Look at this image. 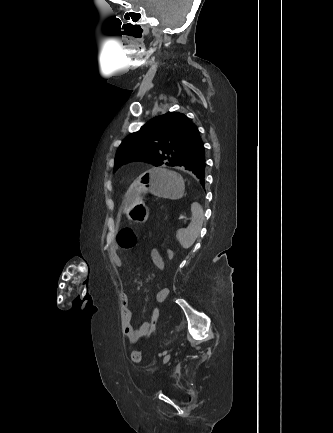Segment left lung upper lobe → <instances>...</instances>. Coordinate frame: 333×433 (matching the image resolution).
I'll return each mask as SVG.
<instances>
[{
	"instance_id": "1",
	"label": "left lung upper lobe",
	"mask_w": 333,
	"mask_h": 433,
	"mask_svg": "<svg viewBox=\"0 0 333 433\" xmlns=\"http://www.w3.org/2000/svg\"><path fill=\"white\" fill-rule=\"evenodd\" d=\"M201 142L193 122L182 113L169 112L125 138L117 150L114 171L133 160L174 167Z\"/></svg>"
}]
</instances>
